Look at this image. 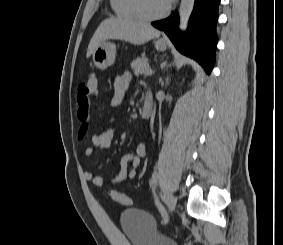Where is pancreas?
I'll return each instance as SVG.
<instances>
[{"mask_svg": "<svg viewBox=\"0 0 283 245\" xmlns=\"http://www.w3.org/2000/svg\"><path fill=\"white\" fill-rule=\"evenodd\" d=\"M131 67L135 75L142 74L148 69V59L146 57L137 58L132 61Z\"/></svg>", "mask_w": 283, "mask_h": 245, "instance_id": "pancreas-1", "label": "pancreas"}]
</instances>
